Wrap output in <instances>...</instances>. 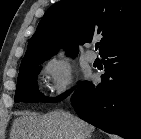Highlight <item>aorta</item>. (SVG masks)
<instances>
[{
	"instance_id": "762f6f07",
	"label": "aorta",
	"mask_w": 141,
	"mask_h": 139,
	"mask_svg": "<svg viewBox=\"0 0 141 139\" xmlns=\"http://www.w3.org/2000/svg\"><path fill=\"white\" fill-rule=\"evenodd\" d=\"M58 58H59V61H61L62 58H63V53H59V54H58Z\"/></svg>"
}]
</instances>
